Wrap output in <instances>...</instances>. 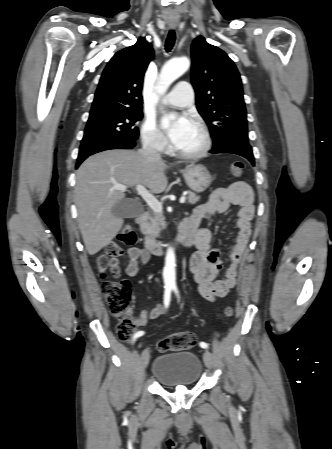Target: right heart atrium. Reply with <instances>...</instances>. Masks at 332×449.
Segmentation results:
<instances>
[{
  "instance_id": "obj_1",
  "label": "right heart atrium",
  "mask_w": 332,
  "mask_h": 449,
  "mask_svg": "<svg viewBox=\"0 0 332 449\" xmlns=\"http://www.w3.org/2000/svg\"><path fill=\"white\" fill-rule=\"evenodd\" d=\"M141 136L144 144L158 152L168 150V141L164 134L157 127L153 118H146L141 127Z\"/></svg>"
}]
</instances>
